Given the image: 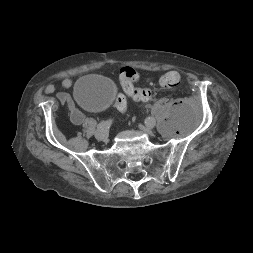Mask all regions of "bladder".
Segmentation results:
<instances>
[{
	"label": "bladder",
	"instance_id": "31cf9c89",
	"mask_svg": "<svg viewBox=\"0 0 253 253\" xmlns=\"http://www.w3.org/2000/svg\"><path fill=\"white\" fill-rule=\"evenodd\" d=\"M116 95V87L112 81L100 75H87L74 85L76 102L92 111H100L109 107Z\"/></svg>",
	"mask_w": 253,
	"mask_h": 253
}]
</instances>
